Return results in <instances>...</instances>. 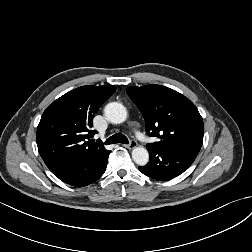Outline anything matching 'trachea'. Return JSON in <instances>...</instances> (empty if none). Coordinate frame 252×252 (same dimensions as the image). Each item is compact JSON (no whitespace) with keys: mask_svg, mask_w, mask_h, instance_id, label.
Returning <instances> with one entry per match:
<instances>
[{"mask_svg":"<svg viewBox=\"0 0 252 252\" xmlns=\"http://www.w3.org/2000/svg\"><path fill=\"white\" fill-rule=\"evenodd\" d=\"M116 143L128 144L129 142L127 137L121 133L114 134L113 136L109 137L105 142V144L107 145Z\"/></svg>","mask_w":252,"mask_h":252,"instance_id":"3493384b","label":"trachea"}]
</instances>
